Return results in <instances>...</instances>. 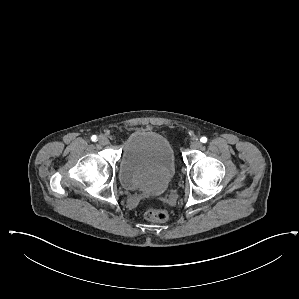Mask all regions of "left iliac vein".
Segmentation results:
<instances>
[{"label": "left iliac vein", "instance_id": "obj_1", "mask_svg": "<svg viewBox=\"0 0 299 299\" xmlns=\"http://www.w3.org/2000/svg\"><path fill=\"white\" fill-rule=\"evenodd\" d=\"M191 149H200L202 147V143L199 140H194L190 144Z\"/></svg>", "mask_w": 299, "mask_h": 299}]
</instances>
